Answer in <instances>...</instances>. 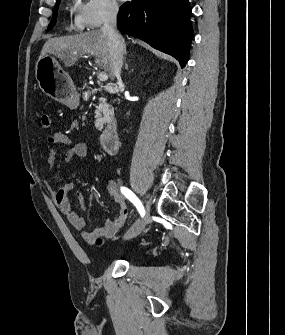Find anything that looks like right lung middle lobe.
Returning a JSON list of instances; mask_svg holds the SVG:
<instances>
[{"mask_svg":"<svg viewBox=\"0 0 285 335\" xmlns=\"http://www.w3.org/2000/svg\"><path fill=\"white\" fill-rule=\"evenodd\" d=\"M58 5H59V3L56 4V6H55V9H54V15H53V17H52V20H51L49 26H48V29H49V30L52 29L53 26H54L55 23H56Z\"/></svg>","mask_w":285,"mask_h":335,"instance_id":"obj_1","label":"right lung middle lobe"}]
</instances>
